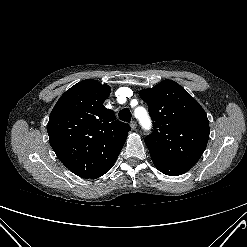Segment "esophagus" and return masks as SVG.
Segmentation results:
<instances>
[{
    "mask_svg": "<svg viewBox=\"0 0 247 247\" xmlns=\"http://www.w3.org/2000/svg\"><path fill=\"white\" fill-rule=\"evenodd\" d=\"M130 127H131L132 130H135L136 127H137V123L135 121H131Z\"/></svg>",
    "mask_w": 247,
    "mask_h": 247,
    "instance_id": "esophagus-1",
    "label": "esophagus"
}]
</instances>
